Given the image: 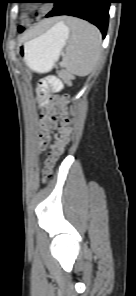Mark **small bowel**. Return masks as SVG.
Wrapping results in <instances>:
<instances>
[{"instance_id": "1", "label": "small bowel", "mask_w": 136, "mask_h": 296, "mask_svg": "<svg viewBox=\"0 0 136 296\" xmlns=\"http://www.w3.org/2000/svg\"><path fill=\"white\" fill-rule=\"evenodd\" d=\"M61 88V84L58 80L52 79L50 80H43L40 83V90L42 93L47 92L48 90L58 91Z\"/></svg>"}]
</instances>
